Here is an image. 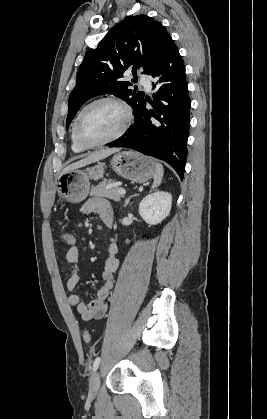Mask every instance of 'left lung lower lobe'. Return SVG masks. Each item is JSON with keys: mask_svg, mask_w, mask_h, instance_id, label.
<instances>
[{"mask_svg": "<svg viewBox=\"0 0 267 419\" xmlns=\"http://www.w3.org/2000/svg\"><path fill=\"white\" fill-rule=\"evenodd\" d=\"M156 78L154 102L144 97L134 109V124L109 147H126L169 163L183 179L191 101L185 65L171 39L163 57L149 72ZM146 102L152 109L146 108Z\"/></svg>", "mask_w": 267, "mask_h": 419, "instance_id": "0a47b994", "label": "left lung lower lobe"}]
</instances>
